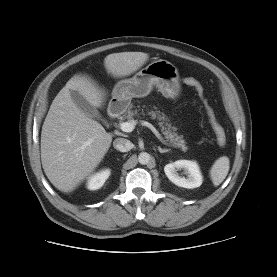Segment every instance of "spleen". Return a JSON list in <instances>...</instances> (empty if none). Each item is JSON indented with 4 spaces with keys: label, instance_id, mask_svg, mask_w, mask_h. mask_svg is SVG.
I'll return each instance as SVG.
<instances>
[{
    "label": "spleen",
    "instance_id": "obj_1",
    "mask_svg": "<svg viewBox=\"0 0 277 277\" xmlns=\"http://www.w3.org/2000/svg\"><path fill=\"white\" fill-rule=\"evenodd\" d=\"M230 168V161L227 156L218 158L210 169V178L214 186L220 185L226 178Z\"/></svg>",
    "mask_w": 277,
    "mask_h": 277
}]
</instances>
